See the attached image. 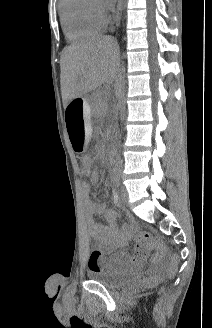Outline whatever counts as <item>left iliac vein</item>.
<instances>
[{
  "instance_id": "left-iliac-vein-1",
  "label": "left iliac vein",
  "mask_w": 212,
  "mask_h": 328,
  "mask_svg": "<svg viewBox=\"0 0 212 328\" xmlns=\"http://www.w3.org/2000/svg\"><path fill=\"white\" fill-rule=\"evenodd\" d=\"M121 197H122L123 203L128 205L129 204L128 192L124 186L121 187Z\"/></svg>"
}]
</instances>
